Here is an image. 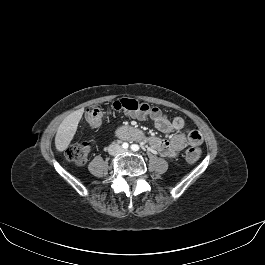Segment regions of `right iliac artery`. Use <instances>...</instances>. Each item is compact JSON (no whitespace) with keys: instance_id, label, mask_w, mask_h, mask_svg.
<instances>
[{"instance_id":"1","label":"right iliac artery","mask_w":265,"mask_h":265,"mask_svg":"<svg viewBox=\"0 0 265 265\" xmlns=\"http://www.w3.org/2000/svg\"><path fill=\"white\" fill-rule=\"evenodd\" d=\"M128 146H129V144H128V143H123V145H122V147H123L124 149H127V148H128Z\"/></svg>"}]
</instances>
